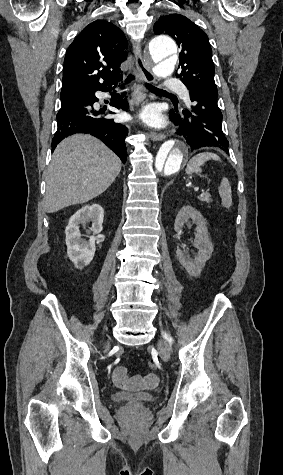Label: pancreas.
Returning <instances> with one entry per match:
<instances>
[{"label": "pancreas", "mask_w": 283, "mask_h": 475, "mask_svg": "<svg viewBox=\"0 0 283 475\" xmlns=\"http://www.w3.org/2000/svg\"><path fill=\"white\" fill-rule=\"evenodd\" d=\"M198 200H201V202H206V204H210V202H212L211 196H209V194H201V196H198Z\"/></svg>", "instance_id": "obj_1"}]
</instances>
